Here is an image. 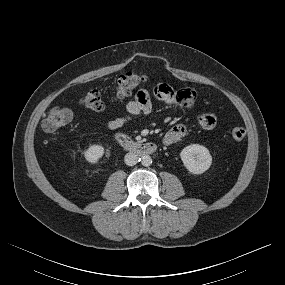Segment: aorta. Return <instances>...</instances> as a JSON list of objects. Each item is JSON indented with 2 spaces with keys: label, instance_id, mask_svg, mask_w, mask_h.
Segmentation results:
<instances>
[{
  "label": "aorta",
  "instance_id": "obj_1",
  "mask_svg": "<svg viewBox=\"0 0 285 285\" xmlns=\"http://www.w3.org/2000/svg\"><path fill=\"white\" fill-rule=\"evenodd\" d=\"M141 164L146 167L150 166L152 164V158L149 155L142 156Z\"/></svg>",
  "mask_w": 285,
  "mask_h": 285
}]
</instances>
